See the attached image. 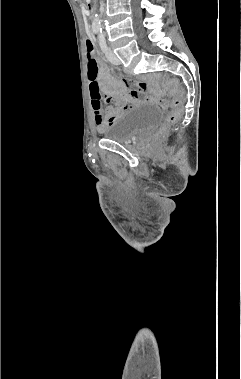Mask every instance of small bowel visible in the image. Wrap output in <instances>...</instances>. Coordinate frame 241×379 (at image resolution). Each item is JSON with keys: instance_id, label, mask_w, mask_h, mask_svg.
<instances>
[{"instance_id": "obj_1", "label": "small bowel", "mask_w": 241, "mask_h": 379, "mask_svg": "<svg viewBox=\"0 0 241 379\" xmlns=\"http://www.w3.org/2000/svg\"><path fill=\"white\" fill-rule=\"evenodd\" d=\"M97 82L99 88L101 85L106 90L103 92V89H90L93 118L98 130L115 123L118 116L134 103L158 101V96L154 94L141 98V91L146 89L144 82L128 80L123 83L113 78L104 66L99 69Z\"/></svg>"}]
</instances>
